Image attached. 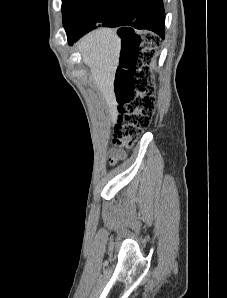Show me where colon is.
<instances>
[{
  "label": "colon",
  "instance_id": "colon-1",
  "mask_svg": "<svg viewBox=\"0 0 227 298\" xmlns=\"http://www.w3.org/2000/svg\"><path fill=\"white\" fill-rule=\"evenodd\" d=\"M158 43L152 35H145L144 45L126 55L117 71L114 91L119 117L114 144L119 148L130 147L151 123L156 99L148 64Z\"/></svg>",
  "mask_w": 227,
  "mask_h": 298
}]
</instances>
